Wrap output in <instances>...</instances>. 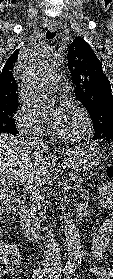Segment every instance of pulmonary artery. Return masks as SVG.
<instances>
[{
    "instance_id": "1",
    "label": "pulmonary artery",
    "mask_w": 113,
    "mask_h": 279,
    "mask_svg": "<svg viewBox=\"0 0 113 279\" xmlns=\"http://www.w3.org/2000/svg\"><path fill=\"white\" fill-rule=\"evenodd\" d=\"M63 75L60 73H51L44 82V86L46 89L50 91H56L60 87V80L62 79Z\"/></svg>"
}]
</instances>
